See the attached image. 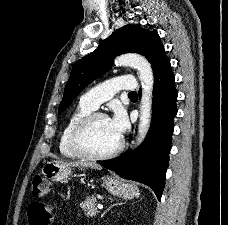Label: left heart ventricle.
Instances as JSON below:
<instances>
[{
    "instance_id": "1",
    "label": "left heart ventricle",
    "mask_w": 228,
    "mask_h": 225,
    "mask_svg": "<svg viewBox=\"0 0 228 225\" xmlns=\"http://www.w3.org/2000/svg\"><path fill=\"white\" fill-rule=\"evenodd\" d=\"M85 141L90 149L106 152L115 148L120 139L113 134L108 119H97L90 126Z\"/></svg>"
}]
</instances>
